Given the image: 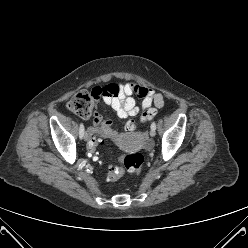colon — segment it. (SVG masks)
I'll return each mask as SVG.
<instances>
[{
    "label": "colon",
    "instance_id": "1",
    "mask_svg": "<svg viewBox=\"0 0 248 248\" xmlns=\"http://www.w3.org/2000/svg\"><path fill=\"white\" fill-rule=\"evenodd\" d=\"M117 94L118 87L109 84L104 87H96L91 92H80L76 94L68 103V109L83 118L89 117L93 112V102L95 99L106 95L107 93ZM156 115L154 109L146 110L140 117L142 123L150 121ZM137 128V122L130 120L126 123L128 131H134ZM86 142L89 144V153L94 160L100 158L97 150L99 135L96 132H89L86 135ZM144 163V157L140 152L126 153L121 156L118 163L108 168L106 177L109 180H118L123 176L135 177L141 172Z\"/></svg>",
    "mask_w": 248,
    "mask_h": 248
}]
</instances>
